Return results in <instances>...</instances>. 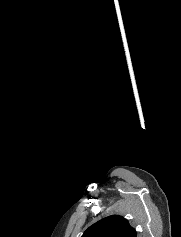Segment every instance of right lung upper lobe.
Returning a JSON list of instances; mask_svg holds the SVG:
<instances>
[{"label": "right lung upper lobe", "instance_id": "obj_1", "mask_svg": "<svg viewBox=\"0 0 181 237\" xmlns=\"http://www.w3.org/2000/svg\"><path fill=\"white\" fill-rule=\"evenodd\" d=\"M81 237H137L136 231L128 221L119 216L112 215L90 226Z\"/></svg>", "mask_w": 181, "mask_h": 237}]
</instances>
